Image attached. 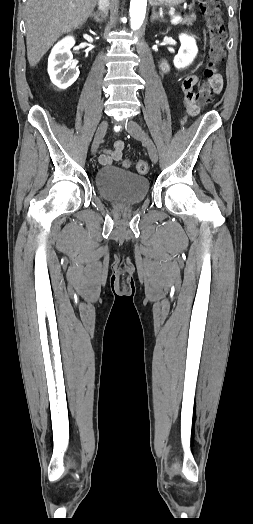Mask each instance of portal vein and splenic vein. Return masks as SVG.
Returning a JSON list of instances; mask_svg holds the SVG:
<instances>
[{"label":"portal vein and splenic vein","instance_id":"obj_1","mask_svg":"<svg viewBox=\"0 0 253 524\" xmlns=\"http://www.w3.org/2000/svg\"><path fill=\"white\" fill-rule=\"evenodd\" d=\"M181 20H182L181 15H177V16H174V17L172 18L171 23H172V24H175V23L180 22Z\"/></svg>","mask_w":253,"mask_h":524}]
</instances>
